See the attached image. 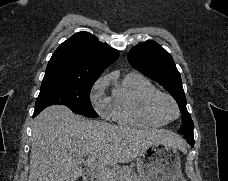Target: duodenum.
I'll use <instances>...</instances> for the list:
<instances>
[{"mask_svg": "<svg viewBox=\"0 0 228 181\" xmlns=\"http://www.w3.org/2000/svg\"><path fill=\"white\" fill-rule=\"evenodd\" d=\"M81 179H85V181H96L95 178H92V174H81Z\"/></svg>", "mask_w": 228, "mask_h": 181, "instance_id": "duodenum-1", "label": "duodenum"}]
</instances>
